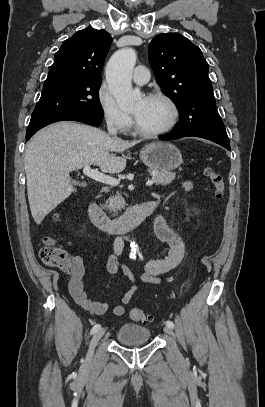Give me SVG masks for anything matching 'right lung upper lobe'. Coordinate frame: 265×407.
Masks as SVG:
<instances>
[{"label": "right lung upper lobe", "mask_w": 265, "mask_h": 407, "mask_svg": "<svg viewBox=\"0 0 265 407\" xmlns=\"http://www.w3.org/2000/svg\"><path fill=\"white\" fill-rule=\"evenodd\" d=\"M112 42L105 30L86 28L64 41L55 54L48 77L69 75L101 80L102 66Z\"/></svg>", "instance_id": "cb5924a9"}]
</instances>
